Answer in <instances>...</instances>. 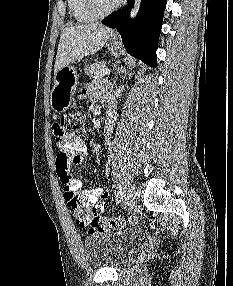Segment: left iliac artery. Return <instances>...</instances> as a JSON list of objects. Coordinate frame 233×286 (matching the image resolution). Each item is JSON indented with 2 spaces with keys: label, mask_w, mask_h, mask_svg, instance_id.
Wrapping results in <instances>:
<instances>
[{
  "label": "left iliac artery",
  "mask_w": 233,
  "mask_h": 286,
  "mask_svg": "<svg viewBox=\"0 0 233 286\" xmlns=\"http://www.w3.org/2000/svg\"><path fill=\"white\" fill-rule=\"evenodd\" d=\"M123 196V188L120 183L117 184L116 201L119 202Z\"/></svg>",
  "instance_id": "1"
}]
</instances>
